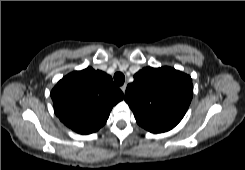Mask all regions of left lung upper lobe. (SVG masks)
Here are the masks:
<instances>
[{
  "label": "left lung upper lobe",
  "mask_w": 245,
  "mask_h": 170,
  "mask_svg": "<svg viewBox=\"0 0 245 170\" xmlns=\"http://www.w3.org/2000/svg\"><path fill=\"white\" fill-rule=\"evenodd\" d=\"M193 96L189 75L170 67H147L134 75L125 101L137 123L153 133L174 128L185 115Z\"/></svg>",
  "instance_id": "1"
}]
</instances>
